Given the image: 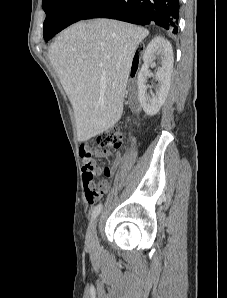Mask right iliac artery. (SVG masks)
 <instances>
[{
    "mask_svg": "<svg viewBox=\"0 0 227 298\" xmlns=\"http://www.w3.org/2000/svg\"><path fill=\"white\" fill-rule=\"evenodd\" d=\"M101 209H102V205L101 204L97 205L94 208V210L92 212V219H95L99 215V213L101 212Z\"/></svg>",
    "mask_w": 227,
    "mask_h": 298,
    "instance_id": "right-iliac-artery-1",
    "label": "right iliac artery"
}]
</instances>
